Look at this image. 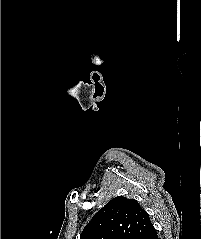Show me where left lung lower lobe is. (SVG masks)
Here are the masks:
<instances>
[{
  "label": "left lung lower lobe",
  "instance_id": "0a47b994",
  "mask_svg": "<svg viewBox=\"0 0 201 239\" xmlns=\"http://www.w3.org/2000/svg\"><path fill=\"white\" fill-rule=\"evenodd\" d=\"M142 239H159L156 229L152 224L150 225L147 233L142 237Z\"/></svg>",
  "mask_w": 201,
  "mask_h": 239
}]
</instances>
